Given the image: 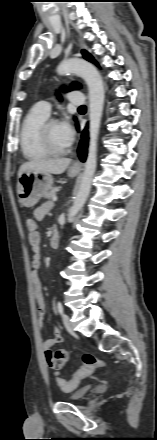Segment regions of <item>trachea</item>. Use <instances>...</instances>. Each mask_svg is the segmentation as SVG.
Instances as JSON below:
<instances>
[{"mask_svg":"<svg viewBox=\"0 0 157 440\" xmlns=\"http://www.w3.org/2000/svg\"><path fill=\"white\" fill-rule=\"evenodd\" d=\"M85 108H86V106H84V105L79 107V109H85Z\"/></svg>","mask_w":157,"mask_h":440,"instance_id":"trachea-1","label":"trachea"}]
</instances>
